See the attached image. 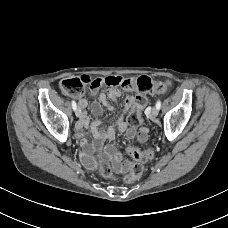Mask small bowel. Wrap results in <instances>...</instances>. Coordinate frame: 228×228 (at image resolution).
Listing matches in <instances>:
<instances>
[{"instance_id":"small-bowel-1","label":"small bowel","mask_w":228,"mask_h":228,"mask_svg":"<svg viewBox=\"0 0 228 228\" xmlns=\"http://www.w3.org/2000/svg\"><path fill=\"white\" fill-rule=\"evenodd\" d=\"M87 80L91 81L89 77H84ZM121 96V90L118 88L112 87L108 90L107 93L101 92L99 94V99L94 100L91 105V111L94 115L100 116L102 114L103 107L112 110L114 104L117 102ZM79 105L82 110L87 106V99L85 95H80L78 97ZM135 99L133 96L127 97L125 105L122 109V114L120 118L107 129L104 128L103 123L100 119L95 120L90 124V129L94 135V141L92 144H89L86 140L81 141V145L85 150V153L88 155L89 152L93 149L104 148V153L112 161L115 170L122 171V157L120 152L112 145H105L104 143L107 140H112L116 132L125 133L129 139L137 138L139 142H144L147 139L148 129L142 127L139 130H136L135 127H131L127 122L124 121V115L134 106ZM89 126V119L85 112L81 111L79 120L76 123L77 135L80 136L81 132Z\"/></svg>"}]
</instances>
